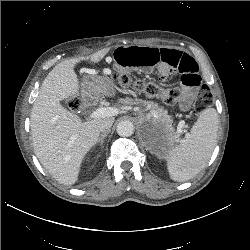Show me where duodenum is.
I'll list each match as a JSON object with an SVG mask.
<instances>
[{"label":"duodenum","mask_w":250,"mask_h":250,"mask_svg":"<svg viewBox=\"0 0 250 250\" xmlns=\"http://www.w3.org/2000/svg\"><path fill=\"white\" fill-rule=\"evenodd\" d=\"M93 103V100H88L87 104L90 105Z\"/></svg>","instance_id":"duodenum-1"}]
</instances>
